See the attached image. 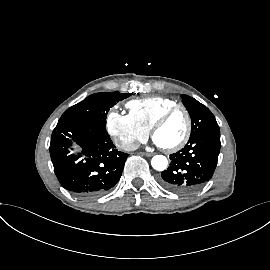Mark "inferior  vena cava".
I'll return each mask as SVG.
<instances>
[{"label": "inferior vena cava", "mask_w": 270, "mask_h": 270, "mask_svg": "<svg viewBox=\"0 0 270 270\" xmlns=\"http://www.w3.org/2000/svg\"><path fill=\"white\" fill-rule=\"evenodd\" d=\"M116 145L119 149L124 151H134L138 148V145L135 143L116 142Z\"/></svg>", "instance_id": "obj_1"}]
</instances>
